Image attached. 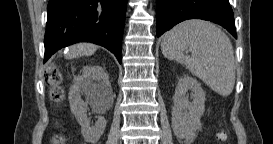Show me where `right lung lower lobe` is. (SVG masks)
Returning a JSON list of instances; mask_svg holds the SVG:
<instances>
[{
	"mask_svg": "<svg viewBox=\"0 0 273 144\" xmlns=\"http://www.w3.org/2000/svg\"><path fill=\"white\" fill-rule=\"evenodd\" d=\"M127 0H49L45 32L46 62L76 42H93L122 62L121 45Z\"/></svg>",
	"mask_w": 273,
	"mask_h": 144,
	"instance_id": "98d812e1",
	"label": "right lung lower lobe"
}]
</instances>
